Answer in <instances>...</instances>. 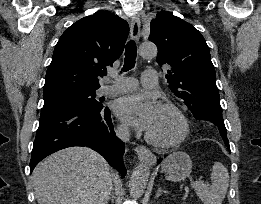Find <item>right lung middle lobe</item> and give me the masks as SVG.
<instances>
[{"mask_svg":"<svg viewBox=\"0 0 261 204\" xmlns=\"http://www.w3.org/2000/svg\"><path fill=\"white\" fill-rule=\"evenodd\" d=\"M95 91H62L44 94L43 108L64 104H98Z\"/></svg>","mask_w":261,"mask_h":204,"instance_id":"dd1d6c3e","label":"right lung middle lobe"}]
</instances>
